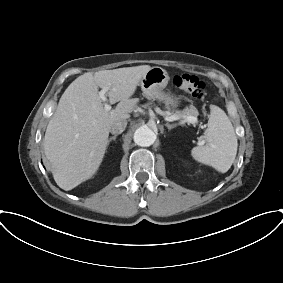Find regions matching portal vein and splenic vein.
I'll use <instances>...</instances> for the list:
<instances>
[{"mask_svg":"<svg viewBox=\"0 0 283 283\" xmlns=\"http://www.w3.org/2000/svg\"><path fill=\"white\" fill-rule=\"evenodd\" d=\"M109 88H110L109 86H106L99 92L100 98L102 99L103 102H105L104 108L107 111L111 110V105L107 103V97H106V92L109 90ZM178 119H179V117L176 116V115L166 117L167 121H175V120H178ZM183 119H184V122H187V123L193 124V123L197 122V118L194 117V116H184Z\"/></svg>","mask_w":283,"mask_h":283,"instance_id":"obj_1","label":"portal vein and splenic vein"}]
</instances>
